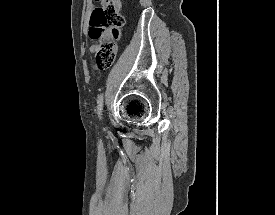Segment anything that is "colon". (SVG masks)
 <instances>
[{
    "label": "colon",
    "instance_id": "colon-1",
    "mask_svg": "<svg viewBox=\"0 0 275 215\" xmlns=\"http://www.w3.org/2000/svg\"><path fill=\"white\" fill-rule=\"evenodd\" d=\"M97 6L90 18L89 36L95 41L96 65L109 67L113 64L117 41L121 36V29L125 24L120 14V0H97Z\"/></svg>",
    "mask_w": 275,
    "mask_h": 215
}]
</instances>
